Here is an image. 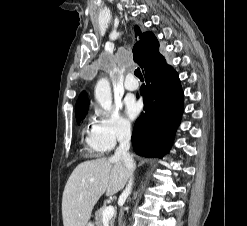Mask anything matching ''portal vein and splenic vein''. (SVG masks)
Masks as SVG:
<instances>
[{
	"label": "portal vein and splenic vein",
	"instance_id": "1",
	"mask_svg": "<svg viewBox=\"0 0 247 226\" xmlns=\"http://www.w3.org/2000/svg\"><path fill=\"white\" fill-rule=\"evenodd\" d=\"M115 214V209L113 206H108L103 211V220H109L111 219Z\"/></svg>",
	"mask_w": 247,
	"mask_h": 226
}]
</instances>
